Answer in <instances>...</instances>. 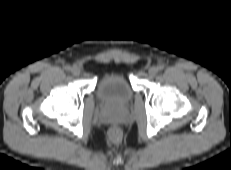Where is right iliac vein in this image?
<instances>
[{"label": "right iliac vein", "instance_id": "right-iliac-vein-1", "mask_svg": "<svg viewBox=\"0 0 231 170\" xmlns=\"http://www.w3.org/2000/svg\"><path fill=\"white\" fill-rule=\"evenodd\" d=\"M71 72L73 75L78 76L80 74V69H79V67H73L71 69Z\"/></svg>", "mask_w": 231, "mask_h": 170}]
</instances>
